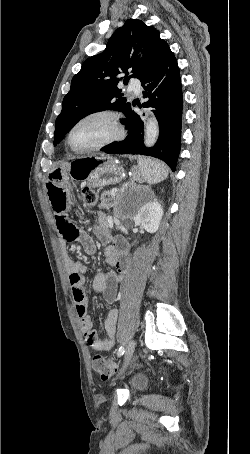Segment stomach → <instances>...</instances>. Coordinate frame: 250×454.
Segmentation results:
<instances>
[{
    "label": "stomach",
    "instance_id": "0dacf381",
    "mask_svg": "<svg viewBox=\"0 0 250 454\" xmlns=\"http://www.w3.org/2000/svg\"><path fill=\"white\" fill-rule=\"evenodd\" d=\"M122 173L123 167L120 162L110 156L82 158L70 165V175L84 181L89 187L115 184L122 178ZM48 176H65V174L58 169L49 172ZM140 176L141 174H136L137 178Z\"/></svg>",
    "mask_w": 250,
    "mask_h": 454
}]
</instances>
